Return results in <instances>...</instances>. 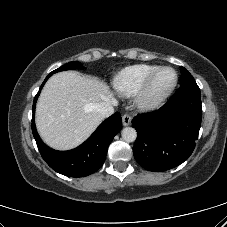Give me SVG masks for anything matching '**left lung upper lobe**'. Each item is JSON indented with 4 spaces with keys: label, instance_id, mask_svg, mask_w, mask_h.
Wrapping results in <instances>:
<instances>
[{
    "label": "left lung upper lobe",
    "instance_id": "obj_1",
    "mask_svg": "<svg viewBox=\"0 0 227 227\" xmlns=\"http://www.w3.org/2000/svg\"><path fill=\"white\" fill-rule=\"evenodd\" d=\"M189 81H194L193 76L184 68L181 66V80L180 84L189 82Z\"/></svg>",
    "mask_w": 227,
    "mask_h": 227
}]
</instances>
